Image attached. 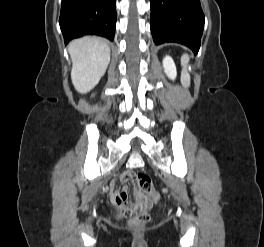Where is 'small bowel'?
<instances>
[{"mask_svg": "<svg viewBox=\"0 0 264 247\" xmlns=\"http://www.w3.org/2000/svg\"><path fill=\"white\" fill-rule=\"evenodd\" d=\"M129 178H130V174L127 172L123 173L121 176V179L123 181H127ZM142 197H143V195H140V194L137 196V198H142ZM112 199H113L115 204H117V202H120L122 200L127 199V189L122 188L120 191L114 190L113 194H112Z\"/></svg>", "mask_w": 264, "mask_h": 247, "instance_id": "1", "label": "small bowel"}]
</instances>
